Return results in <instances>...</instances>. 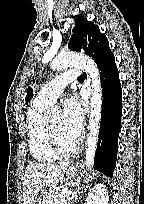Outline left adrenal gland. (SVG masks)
Masks as SVG:
<instances>
[{
  "mask_svg": "<svg viewBox=\"0 0 144 204\" xmlns=\"http://www.w3.org/2000/svg\"><path fill=\"white\" fill-rule=\"evenodd\" d=\"M78 195H79V194H77V193L74 195V201H78V199H79V196H78Z\"/></svg>",
  "mask_w": 144,
  "mask_h": 204,
  "instance_id": "1",
  "label": "left adrenal gland"
}]
</instances>
